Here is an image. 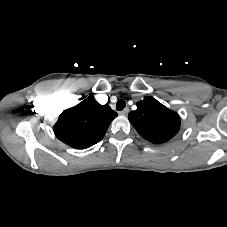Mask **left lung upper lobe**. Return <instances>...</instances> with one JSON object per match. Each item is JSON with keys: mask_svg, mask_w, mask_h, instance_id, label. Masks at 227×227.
<instances>
[{"mask_svg": "<svg viewBox=\"0 0 227 227\" xmlns=\"http://www.w3.org/2000/svg\"><path fill=\"white\" fill-rule=\"evenodd\" d=\"M128 118L137 132L152 143H164L180 129L179 115L153 97L137 102V109Z\"/></svg>", "mask_w": 227, "mask_h": 227, "instance_id": "left-lung-upper-lobe-1", "label": "left lung upper lobe"}]
</instances>
